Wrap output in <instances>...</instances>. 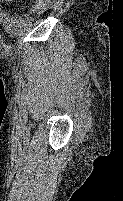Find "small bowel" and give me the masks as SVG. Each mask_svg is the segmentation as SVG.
Segmentation results:
<instances>
[{
    "mask_svg": "<svg viewBox=\"0 0 123 201\" xmlns=\"http://www.w3.org/2000/svg\"><path fill=\"white\" fill-rule=\"evenodd\" d=\"M15 0H0V3L2 2V3H12V2H14Z\"/></svg>",
    "mask_w": 123,
    "mask_h": 201,
    "instance_id": "obj_1",
    "label": "small bowel"
}]
</instances>
